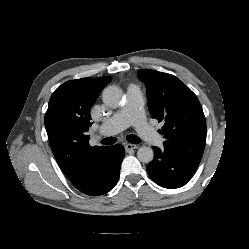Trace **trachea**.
<instances>
[{"label": "trachea", "instance_id": "trachea-1", "mask_svg": "<svg viewBox=\"0 0 249 249\" xmlns=\"http://www.w3.org/2000/svg\"><path fill=\"white\" fill-rule=\"evenodd\" d=\"M126 139L128 140V142L132 143V144H138L141 142V139L136 136V135H128L126 137ZM116 142V138L114 137H108V138H104L103 140H101V143L103 145H112Z\"/></svg>", "mask_w": 249, "mask_h": 249}]
</instances>
